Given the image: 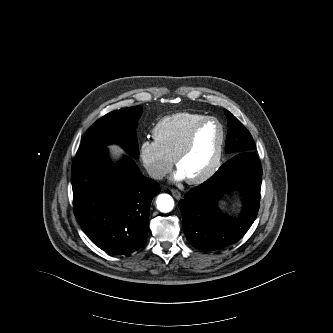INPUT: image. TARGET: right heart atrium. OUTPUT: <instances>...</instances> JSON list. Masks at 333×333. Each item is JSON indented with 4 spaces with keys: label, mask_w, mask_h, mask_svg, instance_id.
Instances as JSON below:
<instances>
[{
    "label": "right heart atrium",
    "mask_w": 333,
    "mask_h": 333,
    "mask_svg": "<svg viewBox=\"0 0 333 333\" xmlns=\"http://www.w3.org/2000/svg\"><path fill=\"white\" fill-rule=\"evenodd\" d=\"M139 156L150 177L160 180L171 170L173 161L167 157L154 141L144 140L140 144Z\"/></svg>",
    "instance_id": "right-heart-atrium-1"
}]
</instances>
